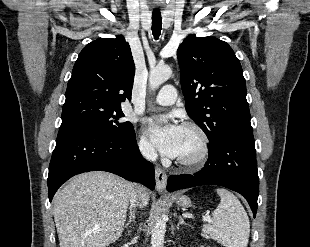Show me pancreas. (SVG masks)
Segmentation results:
<instances>
[{
	"label": "pancreas",
	"instance_id": "obj_1",
	"mask_svg": "<svg viewBox=\"0 0 310 247\" xmlns=\"http://www.w3.org/2000/svg\"><path fill=\"white\" fill-rule=\"evenodd\" d=\"M204 237H205V238H208V236H207V235H204Z\"/></svg>",
	"mask_w": 310,
	"mask_h": 247
}]
</instances>
